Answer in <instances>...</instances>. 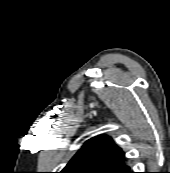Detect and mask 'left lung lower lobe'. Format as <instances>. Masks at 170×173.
<instances>
[{
    "mask_svg": "<svg viewBox=\"0 0 170 173\" xmlns=\"http://www.w3.org/2000/svg\"><path fill=\"white\" fill-rule=\"evenodd\" d=\"M122 173H133L130 169V167L128 166L124 171H122Z\"/></svg>",
    "mask_w": 170,
    "mask_h": 173,
    "instance_id": "left-lung-lower-lobe-1",
    "label": "left lung lower lobe"
}]
</instances>
